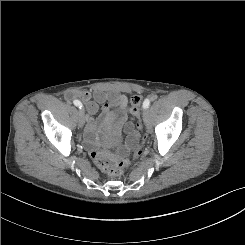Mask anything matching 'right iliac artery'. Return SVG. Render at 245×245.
<instances>
[{
    "mask_svg": "<svg viewBox=\"0 0 245 245\" xmlns=\"http://www.w3.org/2000/svg\"><path fill=\"white\" fill-rule=\"evenodd\" d=\"M73 103H74L75 106L79 107L80 109L83 108V105H82V103L79 100H74Z\"/></svg>",
    "mask_w": 245,
    "mask_h": 245,
    "instance_id": "obj_1",
    "label": "right iliac artery"
}]
</instances>
